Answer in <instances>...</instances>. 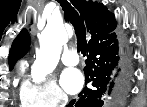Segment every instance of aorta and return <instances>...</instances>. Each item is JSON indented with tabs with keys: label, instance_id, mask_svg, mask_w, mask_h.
I'll return each mask as SVG.
<instances>
[{
	"label": "aorta",
	"instance_id": "762f6f07",
	"mask_svg": "<svg viewBox=\"0 0 147 107\" xmlns=\"http://www.w3.org/2000/svg\"><path fill=\"white\" fill-rule=\"evenodd\" d=\"M68 35L61 21H50L40 37V51L32 67L35 79L41 81L57 66Z\"/></svg>",
	"mask_w": 147,
	"mask_h": 107
}]
</instances>
